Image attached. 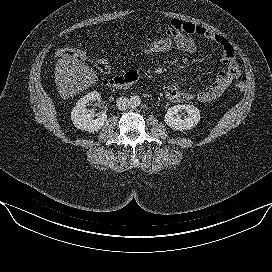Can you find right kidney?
Listing matches in <instances>:
<instances>
[{
	"mask_svg": "<svg viewBox=\"0 0 272 272\" xmlns=\"http://www.w3.org/2000/svg\"><path fill=\"white\" fill-rule=\"evenodd\" d=\"M100 98V93L92 91L77 101L71 112V119L76 128L87 132H95L102 128L107 120L106 113L99 114L94 119V110L87 108L91 101L100 100Z\"/></svg>",
	"mask_w": 272,
	"mask_h": 272,
	"instance_id": "obj_1",
	"label": "right kidney"
}]
</instances>
